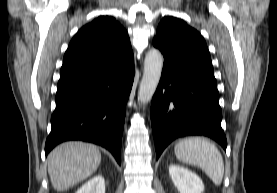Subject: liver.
I'll use <instances>...</instances> for the list:
<instances>
[{
	"label": "liver",
	"mask_w": 277,
	"mask_h": 193,
	"mask_svg": "<svg viewBox=\"0 0 277 193\" xmlns=\"http://www.w3.org/2000/svg\"><path fill=\"white\" fill-rule=\"evenodd\" d=\"M101 153L89 143L65 142L48 155V174L53 188L64 191L91 176L99 167Z\"/></svg>",
	"instance_id": "obj_1"
}]
</instances>
